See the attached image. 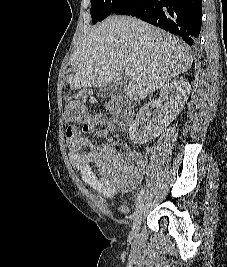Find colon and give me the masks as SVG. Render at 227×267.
I'll return each mask as SVG.
<instances>
[{
	"label": "colon",
	"instance_id": "colon-1",
	"mask_svg": "<svg viewBox=\"0 0 227 267\" xmlns=\"http://www.w3.org/2000/svg\"><path fill=\"white\" fill-rule=\"evenodd\" d=\"M105 111L109 114L115 115L119 122L129 118L128 106L120 99L110 100L105 107ZM64 114L68 121L82 124L86 123L89 118L86 107L76 100H72L67 103L64 109Z\"/></svg>",
	"mask_w": 227,
	"mask_h": 267
}]
</instances>
